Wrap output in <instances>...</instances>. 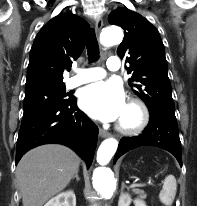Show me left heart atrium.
<instances>
[{
	"label": "left heart atrium",
	"mask_w": 197,
	"mask_h": 206,
	"mask_svg": "<svg viewBox=\"0 0 197 206\" xmlns=\"http://www.w3.org/2000/svg\"><path fill=\"white\" fill-rule=\"evenodd\" d=\"M79 102L86 113L101 121L121 119L127 107L124 91L116 81L97 82L85 87Z\"/></svg>",
	"instance_id": "1"
}]
</instances>
